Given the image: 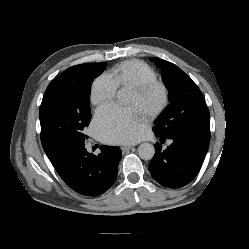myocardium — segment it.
I'll use <instances>...</instances> for the list:
<instances>
[{"label": "myocardium", "instance_id": "1", "mask_svg": "<svg viewBox=\"0 0 249 249\" xmlns=\"http://www.w3.org/2000/svg\"><path fill=\"white\" fill-rule=\"evenodd\" d=\"M152 88L160 89L162 93V99L160 104L145 116L147 119H154L158 117L167 108L170 100V91L168 86L164 82L155 79L145 81L131 88V91L140 97L145 95Z\"/></svg>", "mask_w": 249, "mask_h": 249}]
</instances>
